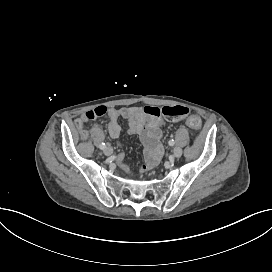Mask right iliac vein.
I'll list each match as a JSON object with an SVG mask.
<instances>
[{
	"label": "right iliac vein",
	"instance_id": "1",
	"mask_svg": "<svg viewBox=\"0 0 272 272\" xmlns=\"http://www.w3.org/2000/svg\"><path fill=\"white\" fill-rule=\"evenodd\" d=\"M104 154H105L106 156L112 155V154H113V149H112L111 147H106V148L104 149Z\"/></svg>",
	"mask_w": 272,
	"mask_h": 272
}]
</instances>
